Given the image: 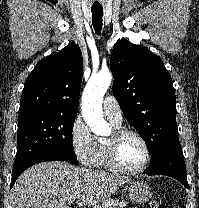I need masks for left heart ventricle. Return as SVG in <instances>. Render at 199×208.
Returning a JSON list of instances; mask_svg holds the SVG:
<instances>
[{"mask_svg":"<svg viewBox=\"0 0 199 208\" xmlns=\"http://www.w3.org/2000/svg\"><path fill=\"white\" fill-rule=\"evenodd\" d=\"M112 134L108 137V139ZM118 156L122 164L128 168H136L145 160V149L135 136H124L118 143Z\"/></svg>","mask_w":199,"mask_h":208,"instance_id":"b2bd125f","label":"left heart ventricle"}]
</instances>
